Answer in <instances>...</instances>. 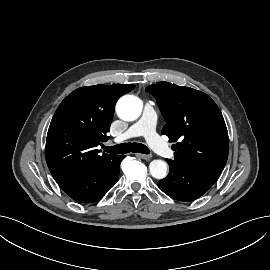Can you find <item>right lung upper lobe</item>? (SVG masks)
Wrapping results in <instances>:
<instances>
[{"label":"right lung upper lobe","instance_id":"cb5924a9","mask_svg":"<svg viewBox=\"0 0 270 270\" xmlns=\"http://www.w3.org/2000/svg\"><path fill=\"white\" fill-rule=\"evenodd\" d=\"M135 85H94L76 89L57 108L46 139L45 157L57 183L99 168L117 155L96 147L106 141L117 100Z\"/></svg>","mask_w":270,"mask_h":270}]
</instances>
